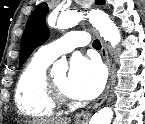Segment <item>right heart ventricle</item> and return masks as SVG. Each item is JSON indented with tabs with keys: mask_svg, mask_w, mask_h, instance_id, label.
<instances>
[{
	"mask_svg": "<svg viewBox=\"0 0 145 124\" xmlns=\"http://www.w3.org/2000/svg\"><path fill=\"white\" fill-rule=\"evenodd\" d=\"M52 61L36 54L19 75L15 89V104L19 112L31 118L53 116L57 106L48 97L46 70Z\"/></svg>",
	"mask_w": 145,
	"mask_h": 124,
	"instance_id": "e07e8e85",
	"label": "right heart ventricle"
}]
</instances>
